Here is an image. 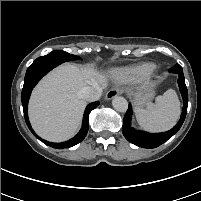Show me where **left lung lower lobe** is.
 Masks as SVG:
<instances>
[{"mask_svg": "<svg viewBox=\"0 0 201 201\" xmlns=\"http://www.w3.org/2000/svg\"><path fill=\"white\" fill-rule=\"evenodd\" d=\"M170 72L176 73L179 76L178 85L183 97V111L181 118L171 130L163 133H147L144 131H138L131 127L132 108L129 104V108L123 120L122 133L129 142L139 147L151 149L160 146L178 132L185 120L188 105V91L185 85L183 70L179 64H176L174 67L170 68Z\"/></svg>", "mask_w": 201, "mask_h": 201, "instance_id": "left-lung-lower-lobe-1", "label": "left lung lower lobe"}]
</instances>
